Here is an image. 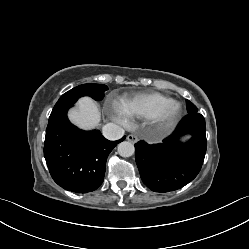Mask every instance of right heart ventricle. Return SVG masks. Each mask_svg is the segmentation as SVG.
<instances>
[{"instance_id": "right-heart-ventricle-1", "label": "right heart ventricle", "mask_w": 249, "mask_h": 249, "mask_svg": "<svg viewBox=\"0 0 249 249\" xmlns=\"http://www.w3.org/2000/svg\"><path fill=\"white\" fill-rule=\"evenodd\" d=\"M172 100L157 92H142L125 99L118 109L130 118L151 119L158 109Z\"/></svg>"}]
</instances>
